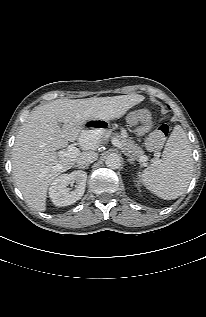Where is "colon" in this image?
Masks as SVG:
<instances>
[{
  "label": "colon",
  "instance_id": "colon-1",
  "mask_svg": "<svg viewBox=\"0 0 206 317\" xmlns=\"http://www.w3.org/2000/svg\"><path fill=\"white\" fill-rule=\"evenodd\" d=\"M128 122L131 125H141L149 128L153 125V118L148 110L138 109L128 115ZM168 133V125L161 124L156 127L147 139L148 147L152 150L160 148L165 141Z\"/></svg>",
  "mask_w": 206,
  "mask_h": 317
}]
</instances>
